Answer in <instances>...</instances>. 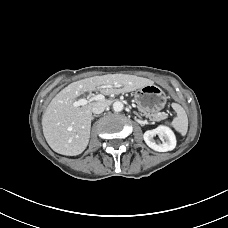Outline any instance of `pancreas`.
<instances>
[{"instance_id":"cf45deb5","label":"pancreas","mask_w":228,"mask_h":228,"mask_svg":"<svg viewBox=\"0 0 228 228\" xmlns=\"http://www.w3.org/2000/svg\"><path fill=\"white\" fill-rule=\"evenodd\" d=\"M139 110L143 113V115L150 117L154 121L163 120L167 117V114L160 112V113H147L139 108Z\"/></svg>"}]
</instances>
